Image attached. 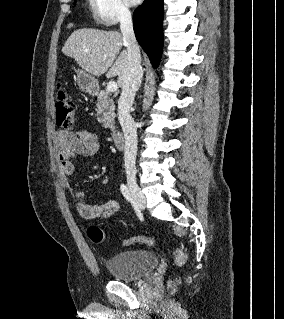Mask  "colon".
Segmentation results:
<instances>
[{
  "label": "colon",
  "instance_id": "colon-1",
  "mask_svg": "<svg viewBox=\"0 0 284 319\" xmlns=\"http://www.w3.org/2000/svg\"><path fill=\"white\" fill-rule=\"evenodd\" d=\"M55 114L56 124L65 129L70 130L75 124V104L68 93L63 90H59L58 96L55 102ZM89 239L94 243H102L106 235L102 229L97 226H90L87 230ZM124 245L143 244L152 246L155 244V240L150 236H138L123 240ZM186 261V252L178 248L175 251V262L177 265H182Z\"/></svg>",
  "mask_w": 284,
  "mask_h": 319
}]
</instances>
